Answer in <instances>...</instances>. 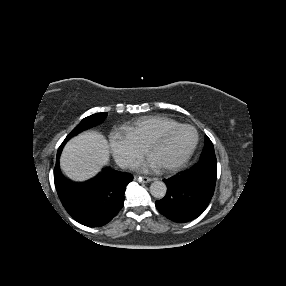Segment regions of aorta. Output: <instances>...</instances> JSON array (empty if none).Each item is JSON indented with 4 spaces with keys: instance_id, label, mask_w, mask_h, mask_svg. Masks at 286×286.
Masks as SVG:
<instances>
[{
    "instance_id": "1",
    "label": "aorta",
    "mask_w": 286,
    "mask_h": 286,
    "mask_svg": "<svg viewBox=\"0 0 286 286\" xmlns=\"http://www.w3.org/2000/svg\"><path fill=\"white\" fill-rule=\"evenodd\" d=\"M167 192V186L163 181H154L150 185V193L153 197L162 199Z\"/></svg>"
}]
</instances>
